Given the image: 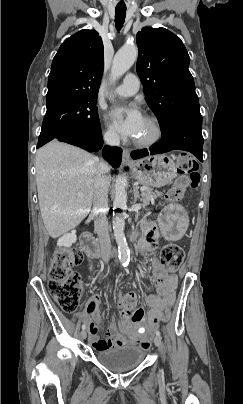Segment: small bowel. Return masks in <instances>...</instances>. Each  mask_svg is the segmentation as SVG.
<instances>
[{"label": "small bowel", "mask_w": 243, "mask_h": 404, "mask_svg": "<svg viewBox=\"0 0 243 404\" xmlns=\"http://www.w3.org/2000/svg\"><path fill=\"white\" fill-rule=\"evenodd\" d=\"M159 242V233L154 223H144L138 248L143 256H149ZM150 266L158 280V295H149L148 312L137 308L129 317H124L118 326L111 323L109 335L104 339L98 337L99 296L93 295L86 306V320L88 322L89 341L96 350L120 347L138 342L145 334H152L158 328L163 316L169 310L175 299L177 276L169 274L154 258L148 259Z\"/></svg>", "instance_id": "c3829d8e"}]
</instances>
